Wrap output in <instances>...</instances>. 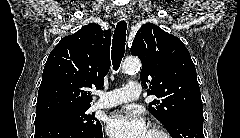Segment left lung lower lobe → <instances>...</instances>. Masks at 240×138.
Masks as SVG:
<instances>
[{
  "label": "left lung lower lobe",
  "mask_w": 240,
  "mask_h": 138,
  "mask_svg": "<svg viewBox=\"0 0 240 138\" xmlns=\"http://www.w3.org/2000/svg\"><path fill=\"white\" fill-rule=\"evenodd\" d=\"M167 130L172 138H204L203 112L184 115L173 122Z\"/></svg>",
  "instance_id": "obj_1"
}]
</instances>
